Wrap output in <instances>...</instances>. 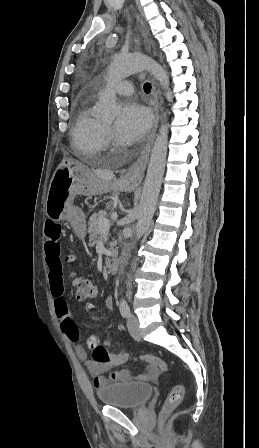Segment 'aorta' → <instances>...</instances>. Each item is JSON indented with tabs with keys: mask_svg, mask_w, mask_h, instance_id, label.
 I'll use <instances>...</instances> for the list:
<instances>
[{
	"mask_svg": "<svg viewBox=\"0 0 259 448\" xmlns=\"http://www.w3.org/2000/svg\"><path fill=\"white\" fill-rule=\"evenodd\" d=\"M147 70L169 92V77L165 69L142 54L118 55L110 65L107 86L99 93L98 113L103 119L113 120L118 113L117 98L112 90L114 83L134 73ZM168 124L161 125L152 148L142 191L135 238L139 240L148 230L158 201L166 165L168 147Z\"/></svg>",
	"mask_w": 259,
	"mask_h": 448,
	"instance_id": "aorta-1",
	"label": "aorta"
}]
</instances>
